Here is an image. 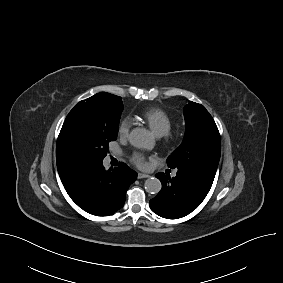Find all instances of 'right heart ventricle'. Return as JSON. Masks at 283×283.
<instances>
[{"label":"right heart ventricle","instance_id":"1","mask_svg":"<svg viewBox=\"0 0 283 283\" xmlns=\"http://www.w3.org/2000/svg\"><path fill=\"white\" fill-rule=\"evenodd\" d=\"M141 118L157 136H164L171 130V117L160 108L145 110L141 113Z\"/></svg>","mask_w":283,"mask_h":283}]
</instances>
